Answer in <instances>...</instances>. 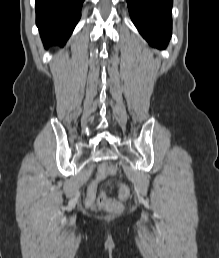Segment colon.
I'll return each instance as SVG.
<instances>
[{
  "label": "colon",
  "instance_id": "5ec220e1",
  "mask_svg": "<svg viewBox=\"0 0 219 258\" xmlns=\"http://www.w3.org/2000/svg\"><path fill=\"white\" fill-rule=\"evenodd\" d=\"M117 168L110 163H103L98 170L95 180L90 184L86 202L88 206L94 208H105L111 212H118L122 205L119 201L107 197L104 193L98 192V185L108 175H115ZM118 192L121 200H127L130 197V189L124 185H118Z\"/></svg>",
  "mask_w": 219,
  "mask_h": 258
}]
</instances>
